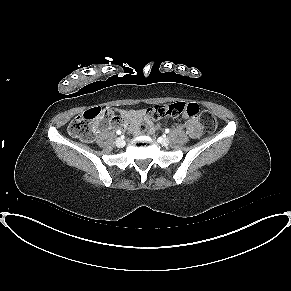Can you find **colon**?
<instances>
[{
    "label": "colon",
    "mask_w": 291,
    "mask_h": 291,
    "mask_svg": "<svg viewBox=\"0 0 291 291\" xmlns=\"http://www.w3.org/2000/svg\"><path fill=\"white\" fill-rule=\"evenodd\" d=\"M198 111L199 108L195 104L175 103L168 106H155L150 110L149 116L152 120H159L175 116H196ZM117 117L119 114L114 108L93 107L74 118L69 124L68 130L76 138L92 141L101 120H111ZM199 119L206 133L212 134L216 130L217 121L210 112L202 111ZM140 129L145 131L147 124L142 123Z\"/></svg>",
    "instance_id": "colon-1"
}]
</instances>
